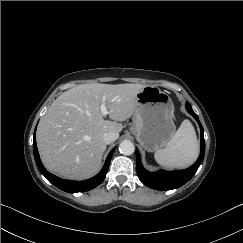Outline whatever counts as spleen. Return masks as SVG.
I'll return each instance as SVG.
<instances>
[{
	"label": "spleen",
	"instance_id": "spleen-1",
	"mask_svg": "<svg viewBox=\"0 0 243 243\" xmlns=\"http://www.w3.org/2000/svg\"><path fill=\"white\" fill-rule=\"evenodd\" d=\"M199 144L193 125L184 120L166 147L155 152L156 162L168 168H185L197 159Z\"/></svg>",
	"mask_w": 243,
	"mask_h": 243
}]
</instances>
